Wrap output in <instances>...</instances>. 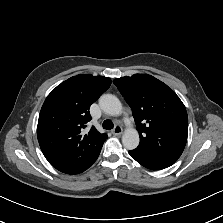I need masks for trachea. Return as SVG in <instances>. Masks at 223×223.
Here are the masks:
<instances>
[{
    "label": "trachea",
    "instance_id": "3493384b",
    "mask_svg": "<svg viewBox=\"0 0 223 223\" xmlns=\"http://www.w3.org/2000/svg\"><path fill=\"white\" fill-rule=\"evenodd\" d=\"M113 126H114V124L109 119H107L103 122V128L106 130H110L111 128H113Z\"/></svg>",
    "mask_w": 223,
    "mask_h": 223
}]
</instances>
